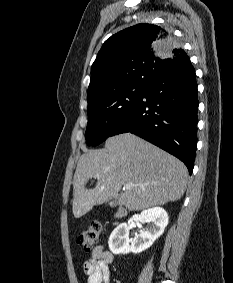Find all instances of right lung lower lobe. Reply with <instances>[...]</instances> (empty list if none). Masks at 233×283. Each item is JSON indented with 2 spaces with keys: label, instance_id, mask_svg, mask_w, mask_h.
I'll return each instance as SVG.
<instances>
[{
  "label": "right lung lower lobe",
  "instance_id": "1",
  "mask_svg": "<svg viewBox=\"0 0 233 283\" xmlns=\"http://www.w3.org/2000/svg\"><path fill=\"white\" fill-rule=\"evenodd\" d=\"M197 83L188 56L158 75L111 136L130 132L176 156L192 173L197 144Z\"/></svg>",
  "mask_w": 233,
  "mask_h": 283
}]
</instances>
